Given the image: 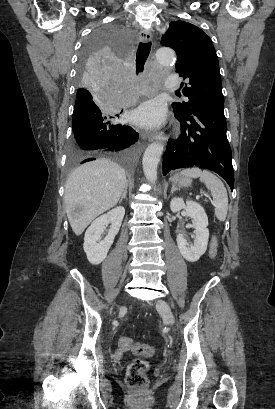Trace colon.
I'll return each instance as SVG.
<instances>
[{
    "label": "colon",
    "mask_w": 275,
    "mask_h": 409,
    "mask_svg": "<svg viewBox=\"0 0 275 409\" xmlns=\"http://www.w3.org/2000/svg\"><path fill=\"white\" fill-rule=\"evenodd\" d=\"M155 346L151 342L144 340H132L130 337H122L120 339V348L136 352L137 357H151L152 349ZM149 365L145 359L133 360L127 369L126 381L130 387H145L147 383V371Z\"/></svg>",
    "instance_id": "1"
}]
</instances>
